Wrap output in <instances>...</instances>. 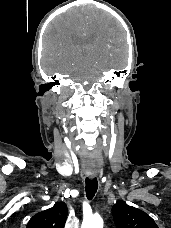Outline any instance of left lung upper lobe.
<instances>
[{"label":"left lung upper lobe","mask_w":171,"mask_h":228,"mask_svg":"<svg viewBox=\"0 0 171 228\" xmlns=\"http://www.w3.org/2000/svg\"><path fill=\"white\" fill-rule=\"evenodd\" d=\"M117 228H158L154 220L144 211L118 201L112 208Z\"/></svg>","instance_id":"left-lung-upper-lobe-1"}]
</instances>
